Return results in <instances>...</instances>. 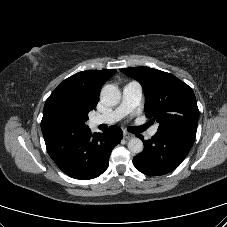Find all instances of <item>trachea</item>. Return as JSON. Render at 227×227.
Returning <instances> with one entry per match:
<instances>
[{"label": "trachea", "mask_w": 227, "mask_h": 227, "mask_svg": "<svg viewBox=\"0 0 227 227\" xmlns=\"http://www.w3.org/2000/svg\"><path fill=\"white\" fill-rule=\"evenodd\" d=\"M149 126H150V124L147 123V124L143 125L142 127L130 128L129 131L132 132V133H138V132H142L143 130H145Z\"/></svg>", "instance_id": "3493384b"}]
</instances>
